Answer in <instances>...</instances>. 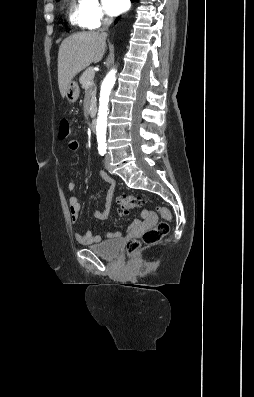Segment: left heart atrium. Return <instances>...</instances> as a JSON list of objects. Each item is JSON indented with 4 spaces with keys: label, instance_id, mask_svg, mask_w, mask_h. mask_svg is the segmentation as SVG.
<instances>
[{
    "label": "left heart atrium",
    "instance_id": "1",
    "mask_svg": "<svg viewBox=\"0 0 254 397\" xmlns=\"http://www.w3.org/2000/svg\"><path fill=\"white\" fill-rule=\"evenodd\" d=\"M106 11L111 15H117L128 6V0H103Z\"/></svg>",
    "mask_w": 254,
    "mask_h": 397
}]
</instances>
